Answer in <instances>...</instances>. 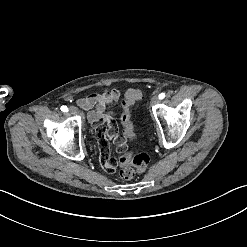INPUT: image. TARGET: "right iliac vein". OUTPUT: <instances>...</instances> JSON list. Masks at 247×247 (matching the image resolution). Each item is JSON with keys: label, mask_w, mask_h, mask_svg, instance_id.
Instances as JSON below:
<instances>
[{"label": "right iliac vein", "mask_w": 247, "mask_h": 247, "mask_svg": "<svg viewBox=\"0 0 247 247\" xmlns=\"http://www.w3.org/2000/svg\"><path fill=\"white\" fill-rule=\"evenodd\" d=\"M70 113H71L72 115H77V114L79 113V111H78L75 107H71V108H70Z\"/></svg>", "instance_id": "63e3f726"}]
</instances>
